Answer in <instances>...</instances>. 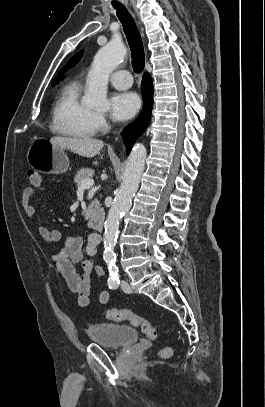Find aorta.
<instances>
[{
  "instance_id": "1",
  "label": "aorta",
  "mask_w": 265,
  "mask_h": 407,
  "mask_svg": "<svg viewBox=\"0 0 265 407\" xmlns=\"http://www.w3.org/2000/svg\"><path fill=\"white\" fill-rule=\"evenodd\" d=\"M126 49L121 39H112L102 47L94 57L88 73V89L82 99L83 104L92 108H104L108 105L107 85L110 74L123 61ZM146 148L143 144L134 145L126 162L123 181L117 190L114 202L104 223L103 259L110 275L118 272L116 266L115 245L121 216L130 209L131 200L137 191L145 166Z\"/></svg>"
}]
</instances>
